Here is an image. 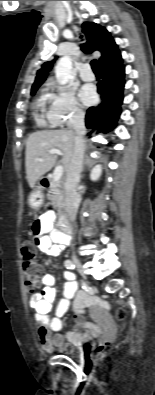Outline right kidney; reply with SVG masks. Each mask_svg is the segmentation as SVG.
Returning a JSON list of instances; mask_svg holds the SVG:
<instances>
[{"instance_id": "1", "label": "right kidney", "mask_w": 155, "mask_h": 395, "mask_svg": "<svg viewBox=\"0 0 155 395\" xmlns=\"http://www.w3.org/2000/svg\"><path fill=\"white\" fill-rule=\"evenodd\" d=\"M101 172H102V167L101 165H97L93 168V170L91 171L90 174V178L92 181H96L98 180V178L101 176Z\"/></svg>"}]
</instances>
